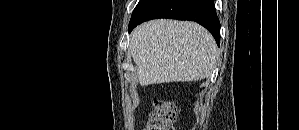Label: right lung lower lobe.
Returning a JSON list of instances; mask_svg holds the SVG:
<instances>
[{"instance_id": "98d812e1", "label": "right lung lower lobe", "mask_w": 299, "mask_h": 130, "mask_svg": "<svg viewBox=\"0 0 299 130\" xmlns=\"http://www.w3.org/2000/svg\"><path fill=\"white\" fill-rule=\"evenodd\" d=\"M156 18L191 20L204 26L220 43V22L214 0H148L131 18L129 32L138 24Z\"/></svg>"}]
</instances>
